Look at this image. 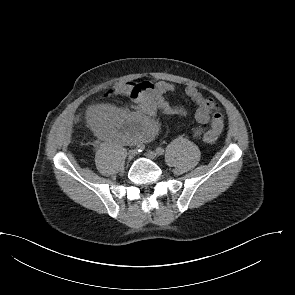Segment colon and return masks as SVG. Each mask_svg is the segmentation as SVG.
<instances>
[{
	"label": "colon",
	"mask_w": 295,
	"mask_h": 295,
	"mask_svg": "<svg viewBox=\"0 0 295 295\" xmlns=\"http://www.w3.org/2000/svg\"><path fill=\"white\" fill-rule=\"evenodd\" d=\"M203 139H204V141L206 143L212 144V143H214L216 141L217 136H215L212 133L207 132V133L204 134Z\"/></svg>",
	"instance_id": "obj_1"
}]
</instances>
